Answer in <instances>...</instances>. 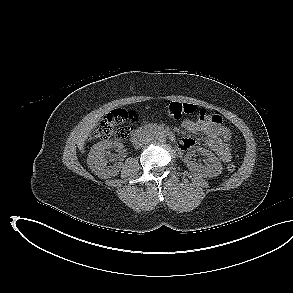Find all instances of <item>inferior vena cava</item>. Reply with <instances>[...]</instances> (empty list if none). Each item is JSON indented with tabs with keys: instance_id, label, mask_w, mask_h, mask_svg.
<instances>
[{
	"instance_id": "1",
	"label": "inferior vena cava",
	"mask_w": 293,
	"mask_h": 293,
	"mask_svg": "<svg viewBox=\"0 0 293 293\" xmlns=\"http://www.w3.org/2000/svg\"><path fill=\"white\" fill-rule=\"evenodd\" d=\"M151 141H152V138L151 137H147V136L146 137H143L139 141H136L135 142L136 148L145 146V145L149 144Z\"/></svg>"
}]
</instances>
